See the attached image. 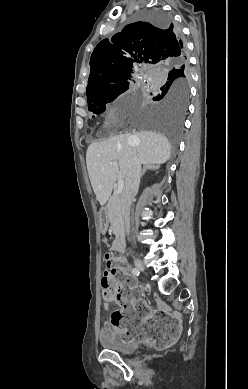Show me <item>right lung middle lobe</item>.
<instances>
[{
  "label": "right lung middle lobe",
  "instance_id": "1",
  "mask_svg": "<svg viewBox=\"0 0 248 389\" xmlns=\"http://www.w3.org/2000/svg\"><path fill=\"white\" fill-rule=\"evenodd\" d=\"M141 18L158 27H167L172 18L163 11L149 10L142 13ZM131 75L116 79L108 87L101 88L87 97L88 110L94 114L105 111V104L115 100L129 88ZM157 89L153 100L157 105L148 110L135 107L132 114L140 125L163 133L171 145L178 144L179 130L185 117L189 101L190 70L184 60H173L159 67L155 77Z\"/></svg>",
  "mask_w": 248,
  "mask_h": 389
}]
</instances>
